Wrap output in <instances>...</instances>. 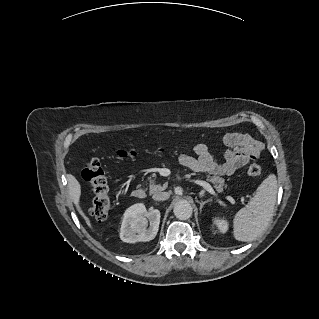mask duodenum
<instances>
[{
    "label": "duodenum",
    "instance_id": "duodenum-1",
    "mask_svg": "<svg viewBox=\"0 0 319 319\" xmlns=\"http://www.w3.org/2000/svg\"><path fill=\"white\" fill-rule=\"evenodd\" d=\"M132 196H133V198L140 200V199L145 198L146 192L142 188H137V189L132 191Z\"/></svg>",
    "mask_w": 319,
    "mask_h": 319
}]
</instances>
